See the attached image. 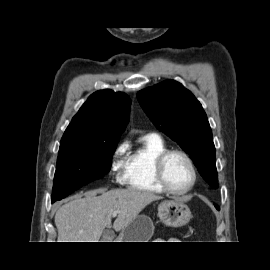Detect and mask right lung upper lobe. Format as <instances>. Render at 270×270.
Listing matches in <instances>:
<instances>
[{
    "instance_id": "1",
    "label": "right lung upper lobe",
    "mask_w": 270,
    "mask_h": 270,
    "mask_svg": "<svg viewBox=\"0 0 270 270\" xmlns=\"http://www.w3.org/2000/svg\"><path fill=\"white\" fill-rule=\"evenodd\" d=\"M131 101L122 92L93 93L73 117L61 140L116 142L129 121Z\"/></svg>"
}]
</instances>
